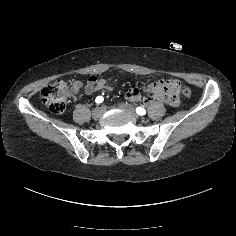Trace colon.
I'll list each match as a JSON object with an SVG mask.
<instances>
[{"label": "colon", "mask_w": 236, "mask_h": 236, "mask_svg": "<svg viewBox=\"0 0 236 236\" xmlns=\"http://www.w3.org/2000/svg\"><path fill=\"white\" fill-rule=\"evenodd\" d=\"M174 84L180 89L184 97L187 98L191 95V90L186 85L177 81H174ZM69 90L70 86L66 81H56L55 83L42 89L40 93V100L52 113L61 114L65 111L66 99Z\"/></svg>", "instance_id": "obj_1"}]
</instances>
